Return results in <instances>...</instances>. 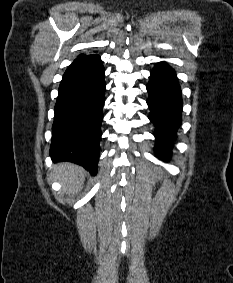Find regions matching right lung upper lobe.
Instances as JSON below:
<instances>
[{"label": "right lung upper lobe", "instance_id": "right-lung-upper-lobe-1", "mask_svg": "<svg viewBox=\"0 0 233 283\" xmlns=\"http://www.w3.org/2000/svg\"><path fill=\"white\" fill-rule=\"evenodd\" d=\"M100 54H103L104 53V50L103 49H100V50H82V55H79L78 57H81L83 55H99Z\"/></svg>", "mask_w": 233, "mask_h": 283}]
</instances>
